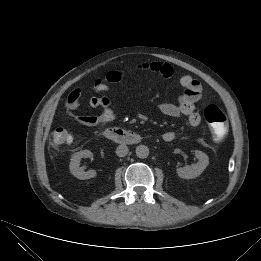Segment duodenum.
Wrapping results in <instances>:
<instances>
[{
  "label": "duodenum",
  "instance_id": "obj_1",
  "mask_svg": "<svg viewBox=\"0 0 261 261\" xmlns=\"http://www.w3.org/2000/svg\"><path fill=\"white\" fill-rule=\"evenodd\" d=\"M104 136L109 140L121 144H136L141 141V136L138 133L118 127H110L106 129Z\"/></svg>",
  "mask_w": 261,
  "mask_h": 261
}]
</instances>
